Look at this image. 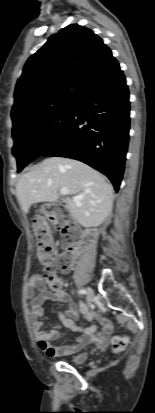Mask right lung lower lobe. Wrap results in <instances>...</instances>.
Here are the masks:
<instances>
[{
    "instance_id": "1",
    "label": "right lung lower lobe",
    "mask_w": 155,
    "mask_h": 413,
    "mask_svg": "<svg viewBox=\"0 0 155 413\" xmlns=\"http://www.w3.org/2000/svg\"><path fill=\"white\" fill-rule=\"evenodd\" d=\"M129 112V91L119 67L74 103L64 131L40 156L80 160L105 174L118 191L129 141Z\"/></svg>"
}]
</instances>
